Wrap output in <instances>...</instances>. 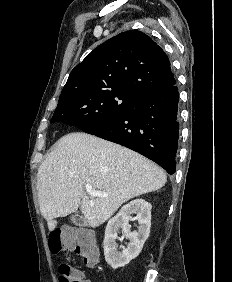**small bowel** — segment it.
<instances>
[{
	"label": "small bowel",
	"mask_w": 232,
	"mask_h": 282,
	"mask_svg": "<svg viewBox=\"0 0 232 282\" xmlns=\"http://www.w3.org/2000/svg\"><path fill=\"white\" fill-rule=\"evenodd\" d=\"M75 274H76L77 276H79L80 282H91L90 280L84 278V275H83V273H82L80 270H77V269H76V270H75Z\"/></svg>",
	"instance_id": "1"
}]
</instances>
